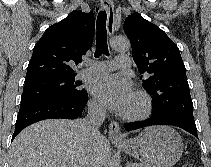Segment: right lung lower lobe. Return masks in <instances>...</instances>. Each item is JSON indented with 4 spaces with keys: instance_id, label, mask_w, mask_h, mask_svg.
Listing matches in <instances>:
<instances>
[{
    "instance_id": "98d812e1",
    "label": "right lung lower lobe",
    "mask_w": 211,
    "mask_h": 167,
    "mask_svg": "<svg viewBox=\"0 0 211 167\" xmlns=\"http://www.w3.org/2000/svg\"><path fill=\"white\" fill-rule=\"evenodd\" d=\"M88 101L87 92L69 99H39L21 102L12 140L25 127L52 118L75 119L79 117Z\"/></svg>"
}]
</instances>
